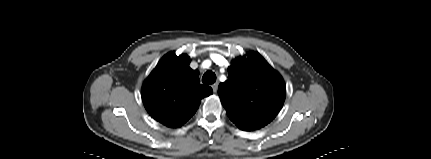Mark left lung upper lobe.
<instances>
[{
  "instance_id": "obj_1",
  "label": "left lung upper lobe",
  "mask_w": 431,
  "mask_h": 159,
  "mask_svg": "<svg viewBox=\"0 0 431 159\" xmlns=\"http://www.w3.org/2000/svg\"><path fill=\"white\" fill-rule=\"evenodd\" d=\"M236 58L228 68V80L218 87L227 115L240 129L264 127L278 114L286 87L281 75L257 52Z\"/></svg>"
}]
</instances>
